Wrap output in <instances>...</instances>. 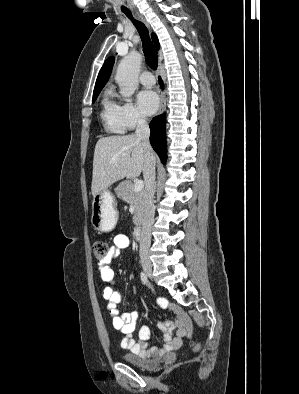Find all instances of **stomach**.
Segmentation results:
<instances>
[{
  "mask_svg": "<svg viewBox=\"0 0 299 394\" xmlns=\"http://www.w3.org/2000/svg\"><path fill=\"white\" fill-rule=\"evenodd\" d=\"M112 193L104 190L93 197L91 223L96 230L109 232L114 229L118 220Z\"/></svg>",
  "mask_w": 299,
  "mask_h": 394,
  "instance_id": "0dacf381",
  "label": "stomach"
}]
</instances>
